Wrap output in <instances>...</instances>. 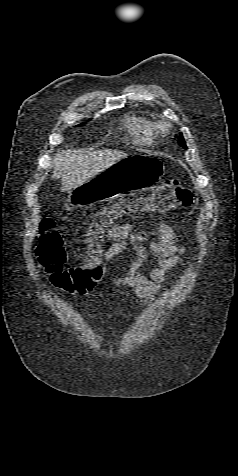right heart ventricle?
Listing matches in <instances>:
<instances>
[{
    "label": "right heart ventricle",
    "instance_id": "1",
    "mask_svg": "<svg viewBox=\"0 0 238 476\" xmlns=\"http://www.w3.org/2000/svg\"><path fill=\"white\" fill-rule=\"evenodd\" d=\"M125 126L137 144L148 146L154 142V125L146 117L140 115H130L125 119Z\"/></svg>",
    "mask_w": 238,
    "mask_h": 476
}]
</instances>
